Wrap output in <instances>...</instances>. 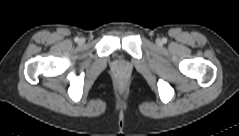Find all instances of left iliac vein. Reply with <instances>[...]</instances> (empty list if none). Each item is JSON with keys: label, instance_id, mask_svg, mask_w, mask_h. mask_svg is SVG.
Instances as JSON below:
<instances>
[{"label": "left iliac vein", "instance_id": "1", "mask_svg": "<svg viewBox=\"0 0 239 136\" xmlns=\"http://www.w3.org/2000/svg\"><path fill=\"white\" fill-rule=\"evenodd\" d=\"M156 43H157L158 45H162L161 39H157V40H156Z\"/></svg>", "mask_w": 239, "mask_h": 136}]
</instances>
